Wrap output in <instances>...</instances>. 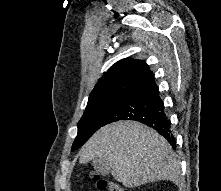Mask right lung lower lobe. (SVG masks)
<instances>
[{
    "label": "right lung lower lobe",
    "instance_id": "obj_1",
    "mask_svg": "<svg viewBox=\"0 0 221 191\" xmlns=\"http://www.w3.org/2000/svg\"><path fill=\"white\" fill-rule=\"evenodd\" d=\"M119 120L141 122L162 135L173 148L176 140L171 132V123L164 112L163 101L154 76L131 89L113 108L102 126Z\"/></svg>",
    "mask_w": 221,
    "mask_h": 191
}]
</instances>
